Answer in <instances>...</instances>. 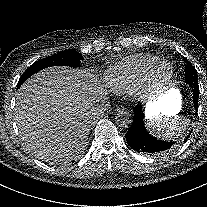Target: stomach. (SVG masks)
<instances>
[{
	"instance_id": "0dacf381",
	"label": "stomach",
	"mask_w": 207,
	"mask_h": 207,
	"mask_svg": "<svg viewBox=\"0 0 207 207\" xmlns=\"http://www.w3.org/2000/svg\"><path fill=\"white\" fill-rule=\"evenodd\" d=\"M181 94L171 88L166 94L147 104L146 115L149 120L177 115L181 110Z\"/></svg>"
}]
</instances>
